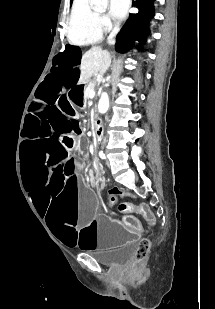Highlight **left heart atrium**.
I'll use <instances>...</instances> for the list:
<instances>
[{
  "label": "left heart atrium",
  "mask_w": 215,
  "mask_h": 309,
  "mask_svg": "<svg viewBox=\"0 0 215 309\" xmlns=\"http://www.w3.org/2000/svg\"><path fill=\"white\" fill-rule=\"evenodd\" d=\"M110 6L113 7L110 10V17L113 19H119L122 15L121 12L130 11V6L126 5L125 0H110Z\"/></svg>",
  "instance_id": "obj_1"
}]
</instances>
